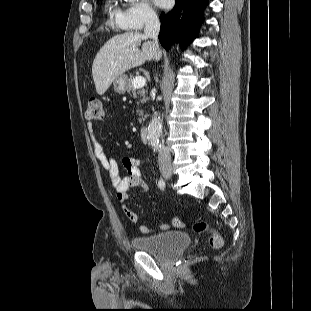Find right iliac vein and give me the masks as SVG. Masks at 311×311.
Wrapping results in <instances>:
<instances>
[{"label":"right iliac vein","mask_w":311,"mask_h":311,"mask_svg":"<svg viewBox=\"0 0 311 311\" xmlns=\"http://www.w3.org/2000/svg\"><path fill=\"white\" fill-rule=\"evenodd\" d=\"M161 173L167 179H171L172 175H173L171 167H163V168H161Z\"/></svg>","instance_id":"obj_1"}]
</instances>
